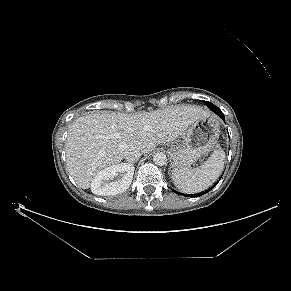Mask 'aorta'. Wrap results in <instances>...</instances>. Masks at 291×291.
<instances>
[{"label": "aorta", "mask_w": 291, "mask_h": 291, "mask_svg": "<svg viewBox=\"0 0 291 291\" xmlns=\"http://www.w3.org/2000/svg\"><path fill=\"white\" fill-rule=\"evenodd\" d=\"M153 161L156 165L163 166L167 162V157L164 153L158 152V153L154 154Z\"/></svg>", "instance_id": "aorta-1"}]
</instances>
